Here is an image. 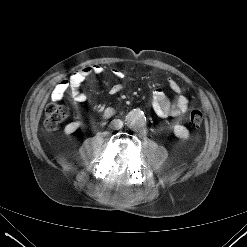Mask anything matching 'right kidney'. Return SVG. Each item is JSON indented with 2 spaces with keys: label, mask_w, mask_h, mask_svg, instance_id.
Here are the masks:
<instances>
[{
  "label": "right kidney",
  "mask_w": 247,
  "mask_h": 247,
  "mask_svg": "<svg viewBox=\"0 0 247 247\" xmlns=\"http://www.w3.org/2000/svg\"><path fill=\"white\" fill-rule=\"evenodd\" d=\"M81 123L80 122H71L68 125L65 126L64 132L65 134L69 135L73 132H75L79 127Z\"/></svg>",
  "instance_id": "right-kidney-1"
}]
</instances>
